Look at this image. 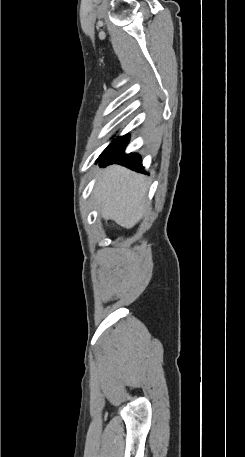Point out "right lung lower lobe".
<instances>
[{
	"mask_svg": "<svg viewBox=\"0 0 245 457\" xmlns=\"http://www.w3.org/2000/svg\"><path fill=\"white\" fill-rule=\"evenodd\" d=\"M129 142V135L115 139L98 159L100 166L111 163H118L139 172L143 171L140 155L131 153L125 154L124 150Z\"/></svg>",
	"mask_w": 245,
	"mask_h": 457,
	"instance_id": "right-lung-lower-lobe-1",
	"label": "right lung lower lobe"
}]
</instances>
